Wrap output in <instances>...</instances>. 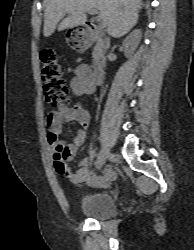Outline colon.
Here are the masks:
<instances>
[{
  "mask_svg": "<svg viewBox=\"0 0 194 250\" xmlns=\"http://www.w3.org/2000/svg\"><path fill=\"white\" fill-rule=\"evenodd\" d=\"M42 65L43 91L46 100L56 106L69 104L66 80L60 61L52 47L44 48L40 53Z\"/></svg>",
  "mask_w": 194,
  "mask_h": 250,
  "instance_id": "colon-1",
  "label": "colon"
}]
</instances>
